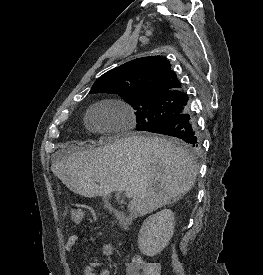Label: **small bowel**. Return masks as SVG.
Wrapping results in <instances>:
<instances>
[{"label": "small bowel", "instance_id": "c3829d8e", "mask_svg": "<svg viewBox=\"0 0 263 275\" xmlns=\"http://www.w3.org/2000/svg\"><path fill=\"white\" fill-rule=\"evenodd\" d=\"M80 239H84L83 235L80 234H72L66 244L65 250L70 252L73 250L74 246ZM102 252L106 257L112 256L114 253V248L110 243H103L101 246ZM103 263L98 260H94L87 264L84 268L83 275H111L108 269H102L99 272L97 271L98 268L102 267ZM128 275H142V272L136 268L132 263L128 264Z\"/></svg>", "mask_w": 263, "mask_h": 275}]
</instances>
